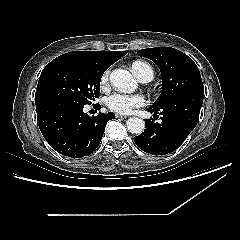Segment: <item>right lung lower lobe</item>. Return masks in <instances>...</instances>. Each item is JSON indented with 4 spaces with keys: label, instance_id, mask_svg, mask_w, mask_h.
<instances>
[{
    "label": "right lung lower lobe",
    "instance_id": "obj_1",
    "mask_svg": "<svg viewBox=\"0 0 240 240\" xmlns=\"http://www.w3.org/2000/svg\"><path fill=\"white\" fill-rule=\"evenodd\" d=\"M83 107L62 99L36 105L42 135L64 156L80 158L90 155L99 146L107 122L115 116L112 112H100L90 117L83 112Z\"/></svg>",
    "mask_w": 240,
    "mask_h": 240
}]
</instances>
